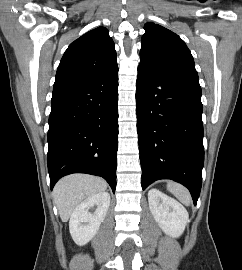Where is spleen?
I'll return each mask as SVG.
<instances>
[{"mask_svg":"<svg viewBox=\"0 0 242 270\" xmlns=\"http://www.w3.org/2000/svg\"><path fill=\"white\" fill-rule=\"evenodd\" d=\"M167 189L172 193L181 203L185 205H190L191 196L189 191L182 185L174 182L167 183Z\"/></svg>","mask_w":242,"mask_h":270,"instance_id":"spleen-1","label":"spleen"}]
</instances>
